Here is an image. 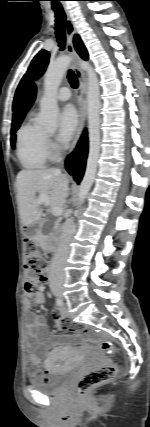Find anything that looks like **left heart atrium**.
Segmentation results:
<instances>
[{"instance_id": "1", "label": "left heart atrium", "mask_w": 150, "mask_h": 427, "mask_svg": "<svg viewBox=\"0 0 150 427\" xmlns=\"http://www.w3.org/2000/svg\"><path fill=\"white\" fill-rule=\"evenodd\" d=\"M79 124L78 114L74 107L66 106L60 114L58 140L62 144L69 143L76 134Z\"/></svg>"}]
</instances>
